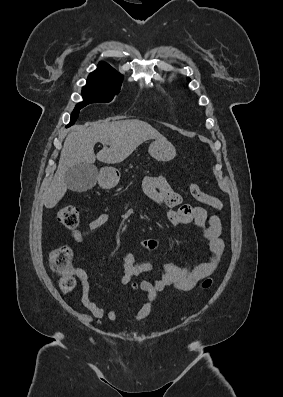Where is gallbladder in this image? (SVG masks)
I'll use <instances>...</instances> for the list:
<instances>
[{"label": "gallbladder", "mask_w": 283, "mask_h": 397, "mask_svg": "<svg viewBox=\"0 0 283 397\" xmlns=\"http://www.w3.org/2000/svg\"><path fill=\"white\" fill-rule=\"evenodd\" d=\"M96 181V167L86 163L71 166L65 173L67 187L74 192H85L93 188Z\"/></svg>", "instance_id": "gallbladder-1"}]
</instances>
